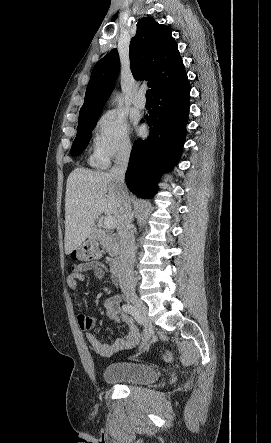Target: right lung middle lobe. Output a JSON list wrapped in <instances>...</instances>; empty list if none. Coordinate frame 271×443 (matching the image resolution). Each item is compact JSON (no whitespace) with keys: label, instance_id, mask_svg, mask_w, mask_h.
Listing matches in <instances>:
<instances>
[{"label":"right lung middle lobe","instance_id":"dd1d6c3e","mask_svg":"<svg viewBox=\"0 0 271 443\" xmlns=\"http://www.w3.org/2000/svg\"><path fill=\"white\" fill-rule=\"evenodd\" d=\"M98 116L78 120L77 136L71 148V156L79 155L88 145L91 132L97 123Z\"/></svg>","mask_w":271,"mask_h":443}]
</instances>
